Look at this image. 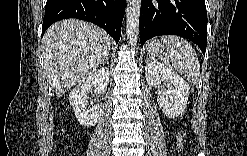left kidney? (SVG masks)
Segmentation results:
<instances>
[{
	"instance_id": "obj_1",
	"label": "left kidney",
	"mask_w": 247,
	"mask_h": 156,
	"mask_svg": "<svg viewBox=\"0 0 247 156\" xmlns=\"http://www.w3.org/2000/svg\"><path fill=\"white\" fill-rule=\"evenodd\" d=\"M145 77L150 86L157 88L158 105L168 118L174 119L185 111L190 86L178 73L154 60L146 64Z\"/></svg>"
}]
</instances>
